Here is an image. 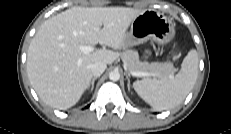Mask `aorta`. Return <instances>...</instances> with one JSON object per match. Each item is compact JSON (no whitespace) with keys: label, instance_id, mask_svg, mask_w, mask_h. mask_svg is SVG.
Wrapping results in <instances>:
<instances>
[{"label":"aorta","instance_id":"762f6f07","mask_svg":"<svg viewBox=\"0 0 231 134\" xmlns=\"http://www.w3.org/2000/svg\"><path fill=\"white\" fill-rule=\"evenodd\" d=\"M109 79L112 81H118L120 79V73L118 71H111L109 73Z\"/></svg>","mask_w":231,"mask_h":134}]
</instances>
